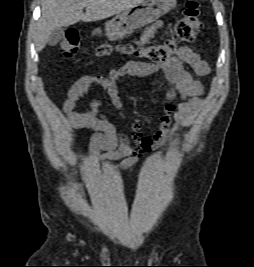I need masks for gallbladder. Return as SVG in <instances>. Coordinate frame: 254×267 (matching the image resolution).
<instances>
[{
  "mask_svg": "<svg viewBox=\"0 0 254 267\" xmlns=\"http://www.w3.org/2000/svg\"><path fill=\"white\" fill-rule=\"evenodd\" d=\"M64 37V29L62 27L56 28L52 31L48 39L49 46L57 45Z\"/></svg>",
  "mask_w": 254,
  "mask_h": 267,
  "instance_id": "obj_1",
  "label": "gallbladder"
}]
</instances>
